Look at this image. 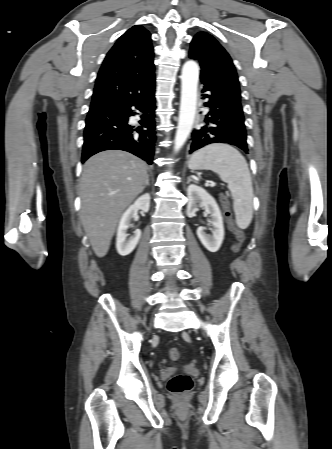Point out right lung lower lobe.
<instances>
[{
  "mask_svg": "<svg viewBox=\"0 0 332 449\" xmlns=\"http://www.w3.org/2000/svg\"><path fill=\"white\" fill-rule=\"evenodd\" d=\"M139 115V126L129 117ZM155 88L146 96L110 108L90 111L86 118L82 163L104 150H124L152 164L155 136Z\"/></svg>",
  "mask_w": 332,
  "mask_h": 449,
  "instance_id": "obj_1",
  "label": "right lung lower lobe"
}]
</instances>
